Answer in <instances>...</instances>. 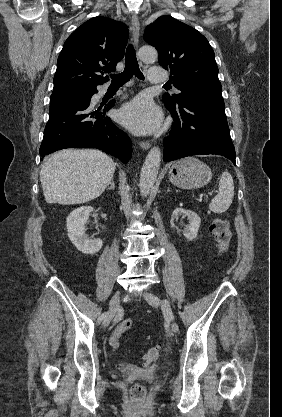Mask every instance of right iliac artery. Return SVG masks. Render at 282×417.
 Returning a JSON list of instances; mask_svg holds the SVG:
<instances>
[{
	"instance_id": "1",
	"label": "right iliac artery",
	"mask_w": 282,
	"mask_h": 417,
	"mask_svg": "<svg viewBox=\"0 0 282 417\" xmlns=\"http://www.w3.org/2000/svg\"><path fill=\"white\" fill-rule=\"evenodd\" d=\"M109 312H105V313H103L101 316H100V318H99V322H101L102 321V319L103 318H105L106 317V315L108 314Z\"/></svg>"
}]
</instances>
